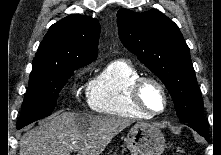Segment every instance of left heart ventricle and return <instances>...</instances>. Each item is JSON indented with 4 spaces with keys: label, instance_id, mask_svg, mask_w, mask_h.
Listing matches in <instances>:
<instances>
[{
    "label": "left heart ventricle",
    "instance_id": "obj_1",
    "mask_svg": "<svg viewBox=\"0 0 221 155\" xmlns=\"http://www.w3.org/2000/svg\"><path fill=\"white\" fill-rule=\"evenodd\" d=\"M142 99L145 105L152 111H160L164 106V98L157 86L148 83L142 91Z\"/></svg>",
    "mask_w": 221,
    "mask_h": 155
}]
</instances>
